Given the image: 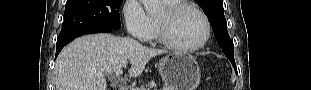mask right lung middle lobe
<instances>
[{
    "instance_id": "1",
    "label": "right lung middle lobe",
    "mask_w": 311,
    "mask_h": 90,
    "mask_svg": "<svg viewBox=\"0 0 311 90\" xmlns=\"http://www.w3.org/2000/svg\"><path fill=\"white\" fill-rule=\"evenodd\" d=\"M122 0H67L57 40L91 29H119Z\"/></svg>"
}]
</instances>
